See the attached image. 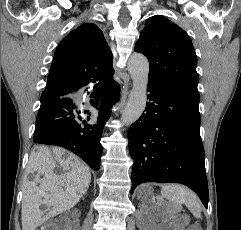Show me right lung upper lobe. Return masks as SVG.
Wrapping results in <instances>:
<instances>
[{
    "mask_svg": "<svg viewBox=\"0 0 241 230\" xmlns=\"http://www.w3.org/2000/svg\"><path fill=\"white\" fill-rule=\"evenodd\" d=\"M113 55L93 23L71 31L57 46L42 94L61 96L71 89L113 80Z\"/></svg>",
    "mask_w": 241,
    "mask_h": 230,
    "instance_id": "cb5924a9",
    "label": "right lung upper lobe"
}]
</instances>
